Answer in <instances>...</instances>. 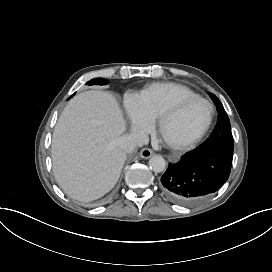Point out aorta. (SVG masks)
Masks as SVG:
<instances>
[{"label":"aorta","instance_id":"aorta-1","mask_svg":"<svg viewBox=\"0 0 272 272\" xmlns=\"http://www.w3.org/2000/svg\"><path fill=\"white\" fill-rule=\"evenodd\" d=\"M149 166L154 172L161 173L166 169V162L162 156H153L150 158Z\"/></svg>","mask_w":272,"mask_h":272}]
</instances>
